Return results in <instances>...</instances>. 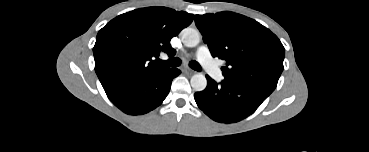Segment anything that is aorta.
I'll use <instances>...</instances> for the list:
<instances>
[{"label": "aorta", "instance_id": "762f6f07", "mask_svg": "<svg viewBox=\"0 0 369 152\" xmlns=\"http://www.w3.org/2000/svg\"><path fill=\"white\" fill-rule=\"evenodd\" d=\"M181 38L185 46L195 47L200 42V33L193 28H185L181 32ZM190 83L195 91H203L207 86V79L203 74L197 73L192 76Z\"/></svg>", "mask_w": 369, "mask_h": 152}]
</instances>
